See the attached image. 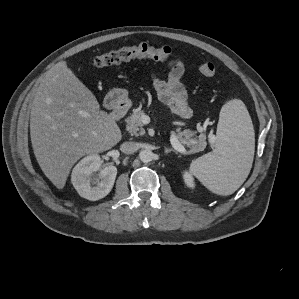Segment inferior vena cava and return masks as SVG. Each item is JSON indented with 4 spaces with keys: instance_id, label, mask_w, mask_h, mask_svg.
Masks as SVG:
<instances>
[{
    "instance_id": "inferior-vena-cava-1",
    "label": "inferior vena cava",
    "mask_w": 299,
    "mask_h": 299,
    "mask_svg": "<svg viewBox=\"0 0 299 299\" xmlns=\"http://www.w3.org/2000/svg\"><path fill=\"white\" fill-rule=\"evenodd\" d=\"M120 150L125 154H132L138 150V145L135 142H124L121 144Z\"/></svg>"
}]
</instances>
